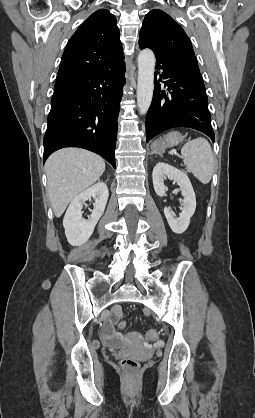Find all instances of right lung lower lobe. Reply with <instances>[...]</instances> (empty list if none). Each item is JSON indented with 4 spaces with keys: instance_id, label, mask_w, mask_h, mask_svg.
I'll return each instance as SVG.
<instances>
[{
    "instance_id": "98d812e1",
    "label": "right lung lower lobe",
    "mask_w": 255,
    "mask_h": 418,
    "mask_svg": "<svg viewBox=\"0 0 255 418\" xmlns=\"http://www.w3.org/2000/svg\"><path fill=\"white\" fill-rule=\"evenodd\" d=\"M125 63L58 77L44 136V162L54 151L80 147L101 155L114 168Z\"/></svg>"
}]
</instances>
